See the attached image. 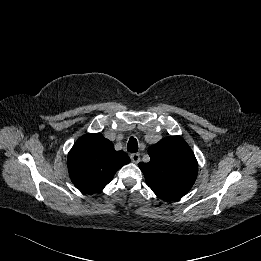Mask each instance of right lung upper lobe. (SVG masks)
Listing matches in <instances>:
<instances>
[{
    "label": "right lung upper lobe",
    "mask_w": 261,
    "mask_h": 261,
    "mask_svg": "<svg viewBox=\"0 0 261 261\" xmlns=\"http://www.w3.org/2000/svg\"><path fill=\"white\" fill-rule=\"evenodd\" d=\"M129 162L125 152L116 151L113 143L99 133L79 138L67 160L71 181L88 194L101 191L115 173Z\"/></svg>",
    "instance_id": "right-lung-upper-lobe-1"
}]
</instances>
